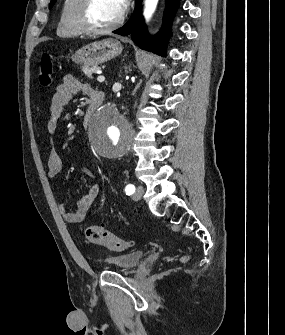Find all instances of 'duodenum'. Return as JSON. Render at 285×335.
Segmentation results:
<instances>
[{
    "label": "duodenum",
    "mask_w": 285,
    "mask_h": 335,
    "mask_svg": "<svg viewBox=\"0 0 285 335\" xmlns=\"http://www.w3.org/2000/svg\"><path fill=\"white\" fill-rule=\"evenodd\" d=\"M101 104V99H97V100H92L90 105L88 106L84 117H83V125L85 127L88 126V124L90 123V120L92 119V117L95 115L96 110L98 109L99 105Z\"/></svg>",
    "instance_id": "duodenum-1"
}]
</instances>
